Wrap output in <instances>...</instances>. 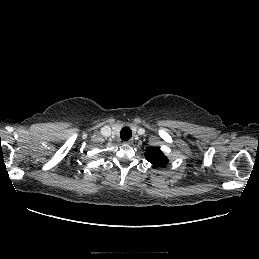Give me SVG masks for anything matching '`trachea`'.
Returning <instances> with one entry per match:
<instances>
[{
  "instance_id": "trachea-1",
  "label": "trachea",
  "mask_w": 259,
  "mask_h": 259,
  "mask_svg": "<svg viewBox=\"0 0 259 259\" xmlns=\"http://www.w3.org/2000/svg\"><path fill=\"white\" fill-rule=\"evenodd\" d=\"M120 137L123 141H128L132 137V131L128 127H124L120 132Z\"/></svg>"
}]
</instances>
